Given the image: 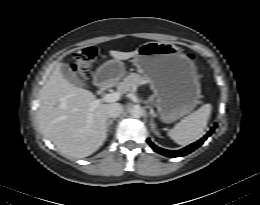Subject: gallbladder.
Returning <instances> with one entry per match:
<instances>
[{
  "mask_svg": "<svg viewBox=\"0 0 260 205\" xmlns=\"http://www.w3.org/2000/svg\"><path fill=\"white\" fill-rule=\"evenodd\" d=\"M60 71L63 77L71 84L77 87H86V83L78 77L71 65L63 63L61 65Z\"/></svg>",
  "mask_w": 260,
  "mask_h": 205,
  "instance_id": "1",
  "label": "gallbladder"
}]
</instances>
